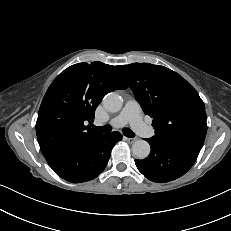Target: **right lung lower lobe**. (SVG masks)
<instances>
[{
  "instance_id": "98d812e1",
  "label": "right lung lower lobe",
  "mask_w": 231,
  "mask_h": 231,
  "mask_svg": "<svg viewBox=\"0 0 231 231\" xmlns=\"http://www.w3.org/2000/svg\"><path fill=\"white\" fill-rule=\"evenodd\" d=\"M122 139L119 132L101 134L84 147L47 161L63 179L79 183L96 178L106 167L113 146Z\"/></svg>"
}]
</instances>
